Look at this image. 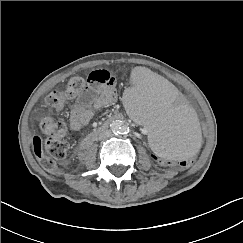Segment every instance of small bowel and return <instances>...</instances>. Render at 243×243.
Returning <instances> with one entry per match:
<instances>
[{
    "label": "small bowel",
    "instance_id": "1",
    "mask_svg": "<svg viewBox=\"0 0 243 243\" xmlns=\"http://www.w3.org/2000/svg\"><path fill=\"white\" fill-rule=\"evenodd\" d=\"M117 100L115 82L111 85H90L87 91L73 104L70 113V127L79 131L89 123L94 113Z\"/></svg>",
    "mask_w": 243,
    "mask_h": 243
}]
</instances>
